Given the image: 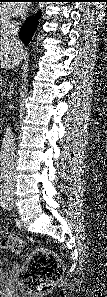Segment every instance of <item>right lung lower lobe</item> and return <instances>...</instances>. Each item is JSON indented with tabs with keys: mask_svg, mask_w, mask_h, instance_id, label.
I'll list each match as a JSON object with an SVG mask.
<instances>
[{
	"mask_svg": "<svg viewBox=\"0 0 107 297\" xmlns=\"http://www.w3.org/2000/svg\"><path fill=\"white\" fill-rule=\"evenodd\" d=\"M41 2H46L48 0H39ZM40 15L30 17L26 20V24L22 27L21 32L19 33L20 39L25 45L29 44V41L32 38L33 32L35 31Z\"/></svg>",
	"mask_w": 107,
	"mask_h": 297,
	"instance_id": "right-lung-lower-lobe-1",
	"label": "right lung lower lobe"
}]
</instances>
